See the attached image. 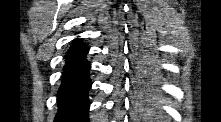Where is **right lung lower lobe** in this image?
<instances>
[{"label":"right lung lower lobe","instance_id":"right-lung-lower-lobe-1","mask_svg":"<svg viewBox=\"0 0 221 122\" xmlns=\"http://www.w3.org/2000/svg\"><path fill=\"white\" fill-rule=\"evenodd\" d=\"M88 47L79 40L69 48L58 90L55 122H88V91L91 88L90 64L85 58Z\"/></svg>","mask_w":221,"mask_h":122}]
</instances>
